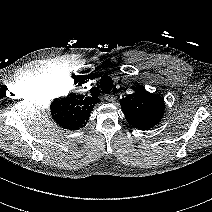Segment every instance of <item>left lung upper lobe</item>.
I'll use <instances>...</instances> for the list:
<instances>
[{
	"label": "left lung upper lobe",
	"instance_id": "left-lung-upper-lobe-1",
	"mask_svg": "<svg viewBox=\"0 0 212 212\" xmlns=\"http://www.w3.org/2000/svg\"><path fill=\"white\" fill-rule=\"evenodd\" d=\"M120 104L128 123L140 130H148L159 124L165 110L163 98L145 89L122 98Z\"/></svg>",
	"mask_w": 212,
	"mask_h": 212
}]
</instances>
